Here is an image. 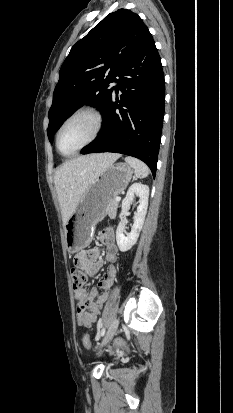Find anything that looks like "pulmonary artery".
Instances as JSON below:
<instances>
[{"mask_svg": "<svg viewBox=\"0 0 233 413\" xmlns=\"http://www.w3.org/2000/svg\"><path fill=\"white\" fill-rule=\"evenodd\" d=\"M117 84H118V81L115 82V85H117Z\"/></svg>", "mask_w": 233, "mask_h": 413, "instance_id": "e3ab8cb5", "label": "pulmonary artery"}]
</instances>
